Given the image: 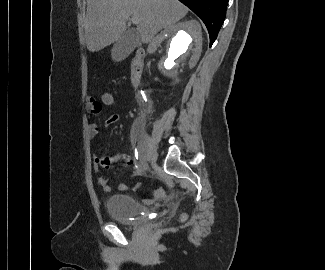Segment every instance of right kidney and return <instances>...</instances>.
<instances>
[{
	"label": "right kidney",
	"mask_w": 325,
	"mask_h": 270,
	"mask_svg": "<svg viewBox=\"0 0 325 270\" xmlns=\"http://www.w3.org/2000/svg\"><path fill=\"white\" fill-rule=\"evenodd\" d=\"M163 43L159 60L151 67L162 85L174 86L192 69L202 51L201 26L195 20L180 22L162 31L157 37Z\"/></svg>",
	"instance_id": "ca27d5eb"
}]
</instances>
